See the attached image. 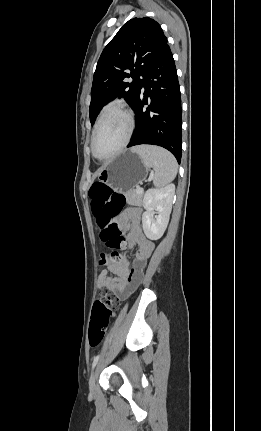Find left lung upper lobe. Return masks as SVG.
I'll list each match as a JSON object with an SVG mask.
<instances>
[{"label": "left lung upper lobe", "instance_id": "obj_1", "mask_svg": "<svg viewBox=\"0 0 261 431\" xmlns=\"http://www.w3.org/2000/svg\"><path fill=\"white\" fill-rule=\"evenodd\" d=\"M166 46L167 38L153 19L133 18L121 27L103 50L93 76L92 124L102 107L115 97H123L134 107L146 72ZM130 77L131 83L124 81Z\"/></svg>", "mask_w": 261, "mask_h": 431}]
</instances>
